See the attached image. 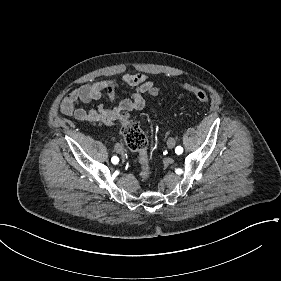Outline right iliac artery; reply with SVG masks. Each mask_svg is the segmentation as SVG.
Here are the masks:
<instances>
[{
	"instance_id": "right-iliac-artery-1",
	"label": "right iliac artery",
	"mask_w": 281,
	"mask_h": 281,
	"mask_svg": "<svg viewBox=\"0 0 281 281\" xmlns=\"http://www.w3.org/2000/svg\"><path fill=\"white\" fill-rule=\"evenodd\" d=\"M111 161H112V163L116 164V163H118L119 159H118V157L114 156V157H112Z\"/></svg>"
}]
</instances>
